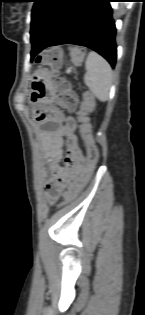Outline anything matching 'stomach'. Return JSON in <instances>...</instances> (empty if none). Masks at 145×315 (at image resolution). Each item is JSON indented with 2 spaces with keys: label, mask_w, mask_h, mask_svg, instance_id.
Listing matches in <instances>:
<instances>
[{
  "label": "stomach",
  "mask_w": 145,
  "mask_h": 315,
  "mask_svg": "<svg viewBox=\"0 0 145 315\" xmlns=\"http://www.w3.org/2000/svg\"><path fill=\"white\" fill-rule=\"evenodd\" d=\"M52 79H55V72H33L29 105L34 122H51L52 116H58V109H49L51 91L55 89L54 84H51Z\"/></svg>",
  "instance_id": "1"
}]
</instances>
